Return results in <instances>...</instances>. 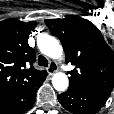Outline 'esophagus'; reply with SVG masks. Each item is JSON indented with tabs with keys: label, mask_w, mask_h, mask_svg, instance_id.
<instances>
[{
	"label": "esophagus",
	"mask_w": 114,
	"mask_h": 114,
	"mask_svg": "<svg viewBox=\"0 0 114 114\" xmlns=\"http://www.w3.org/2000/svg\"><path fill=\"white\" fill-rule=\"evenodd\" d=\"M47 70L50 75H53L57 71V64L55 62H50Z\"/></svg>",
	"instance_id": "obj_1"
}]
</instances>
